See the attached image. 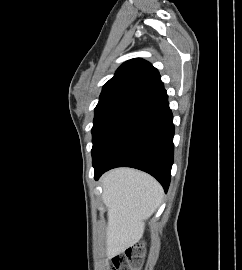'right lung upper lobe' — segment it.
Listing matches in <instances>:
<instances>
[{"label": "right lung upper lobe", "instance_id": "right-lung-upper-lobe-1", "mask_svg": "<svg viewBox=\"0 0 242 270\" xmlns=\"http://www.w3.org/2000/svg\"><path fill=\"white\" fill-rule=\"evenodd\" d=\"M165 91L159 72L136 58L123 63L104 86L96 107L127 103L138 106Z\"/></svg>", "mask_w": 242, "mask_h": 270}]
</instances>
